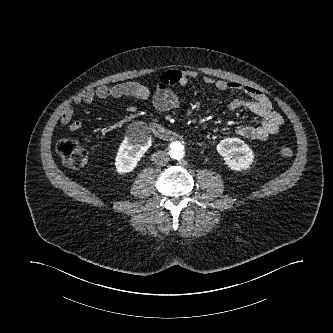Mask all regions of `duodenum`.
Instances as JSON below:
<instances>
[{
  "mask_svg": "<svg viewBox=\"0 0 333 333\" xmlns=\"http://www.w3.org/2000/svg\"><path fill=\"white\" fill-rule=\"evenodd\" d=\"M151 132L161 140L173 141L179 138V135L161 124L153 123L150 125Z\"/></svg>",
  "mask_w": 333,
  "mask_h": 333,
  "instance_id": "1",
  "label": "duodenum"
}]
</instances>
